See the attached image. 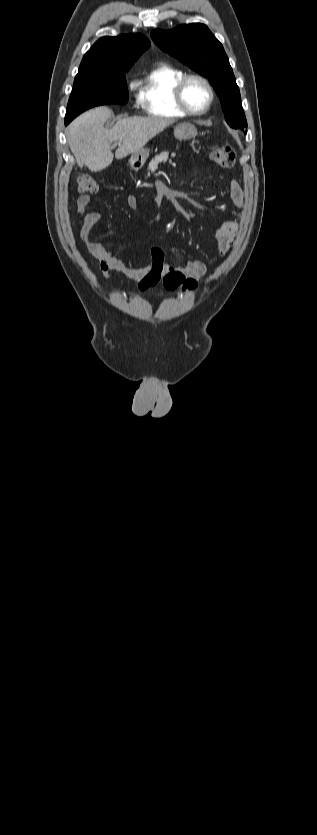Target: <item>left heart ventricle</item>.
I'll return each instance as SVG.
<instances>
[{"instance_id":"1","label":"left heart ventricle","mask_w":317,"mask_h":835,"mask_svg":"<svg viewBox=\"0 0 317 835\" xmlns=\"http://www.w3.org/2000/svg\"><path fill=\"white\" fill-rule=\"evenodd\" d=\"M185 100L191 109L201 110L209 100V91L202 82L191 80L186 86Z\"/></svg>"}]
</instances>
